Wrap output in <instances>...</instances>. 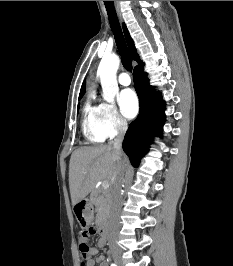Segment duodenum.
Here are the masks:
<instances>
[{"mask_svg":"<svg viewBox=\"0 0 233 266\" xmlns=\"http://www.w3.org/2000/svg\"><path fill=\"white\" fill-rule=\"evenodd\" d=\"M98 230L102 236V239L104 240V242H107V239L109 238V230L106 226L105 223L101 222L98 226Z\"/></svg>","mask_w":233,"mask_h":266,"instance_id":"obj_1","label":"duodenum"}]
</instances>
